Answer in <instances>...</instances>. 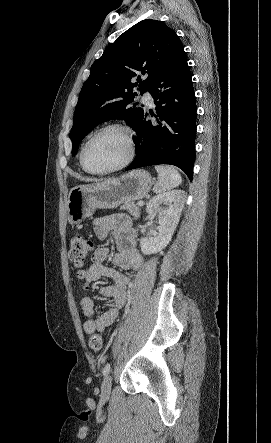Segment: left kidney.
<instances>
[{"label":"left kidney","mask_w":271,"mask_h":443,"mask_svg":"<svg viewBox=\"0 0 271 443\" xmlns=\"http://www.w3.org/2000/svg\"><path fill=\"white\" fill-rule=\"evenodd\" d=\"M185 204V192L172 190L152 198L147 204L146 212L149 216H158L159 233L155 237H142L140 247L142 253L150 255L164 249L171 241L174 229L179 222L180 214Z\"/></svg>","instance_id":"5707ae66"}]
</instances>
